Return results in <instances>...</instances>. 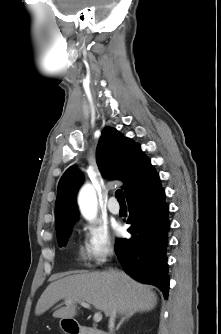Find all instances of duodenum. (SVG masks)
<instances>
[{"label":"duodenum","instance_id":"obj_1","mask_svg":"<svg viewBox=\"0 0 221 334\" xmlns=\"http://www.w3.org/2000/svg\"><path fill=\"white\" fill-rule=\"evenodd\" d=\"M70 334H107L106 331L94 327H76L69 329Z\"/></svg>","mask_w":221,"mask_h":334}]
</instances>
